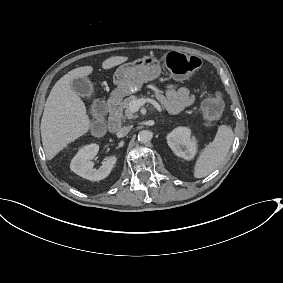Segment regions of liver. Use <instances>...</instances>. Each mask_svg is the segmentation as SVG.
<instances>
[{
  "label": "liver",
  "mask_w": 283,
  "mask_h": 283,
  "mask_svg": "<svg viewBox=\"0 0 283 283\" xmlns=\"http://www.w3.org/2000/svg\"><path fill=\"white\" fill-rule=\"evenodd\" d=\"M127 56H111L105 59L101 67L110 70L128 61ZM94 71L87 65L72 69L53 86L46 101L40 132L47 160L51 161L70 143L90 131L91 121L86 107L74 92L72 83L80 78L89 77Z\"/></svg>",
  "instance_id": "1"
}]
</instances>
